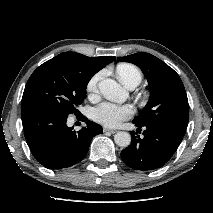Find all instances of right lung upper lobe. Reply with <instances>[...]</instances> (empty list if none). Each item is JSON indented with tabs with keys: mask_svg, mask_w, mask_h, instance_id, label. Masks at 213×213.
<instances>
[{
	"mask_svg": "<svg viewBox=\"0 0 213 213\" xmlns=\"http://www.w3.org/2000/svg\"><path fill=\"white\" fill-rule=\"evenodd\" d=\"M58 56L80 63L84 65L86 68H88L94 74L115 59L114 56H102V57H95V58L87 57L85 55H82L76 52H64L59 54Z\"/></svg>",
	"mask_w": 213,
	"mask_h": 213,
	"instance_id": "1",
	"label": "right lung upper lobe"
}]
</instances>
